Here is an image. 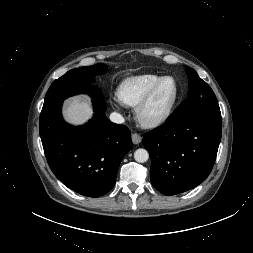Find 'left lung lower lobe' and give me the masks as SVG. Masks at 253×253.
<instances>
[{"label":"left lung lower lobe","instance_id":"0a47b994","mask_svg":"<svg viewBox=\"0 0 253 253\" xmlns=\"http://www.w3.org/2000/svg\"><path fill=\"white\" fill-rule=\"evenodd\" d=\"M222 134V118L200 114L173 121L147 133L143 145L152 160V185L165 195L195 188L210 174Z\"/></svg>","mask_w":253,"mask_h":253}]
</instances>
